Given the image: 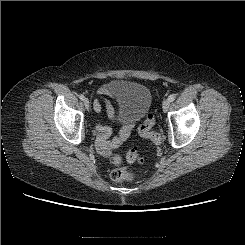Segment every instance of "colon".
I'll use <instances>...</instances> for the list:
<instances>
[{
    "instance_id": "colon-1",
    "label": "colon",
    "mask_w": 245,
    "mask_h": 245,
    "mask_svg": "<svg viewBox=\"0 0 245 245\" xmlns=\"http://www.w3.org/2000/svg\"><path fill=\"white\" fill-rule=\"evenodd\" d=\"M154 117L152 114H148L146 119L139 125L138 133L141 137L151 140L155 145L159 146L161 144V136L153 130ZM126 160L129 163L143 162L142 157L135 149H131L126 154ZM113 163L117 166L111 172L112 180L116 182H126L134 180L137 175L131 169L123 165V158L119 154H115L112 157Z\"/></svg>"
}]
</instances>
